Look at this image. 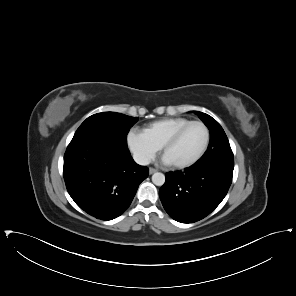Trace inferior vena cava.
Masks as SVG:
<instances>
[{"label": "inferior vena cava", "mask_w": 296, "mask_h": 296, "mask_svg": "<svg viewBox=\"0 0 296 296\" xmlns=\"http://www.w3.org/2000/svg\"><path fill=\"white\" fill-rule=\"evenodd\" d=\"M133 159L139 165H148L151 162L149 156L143 152H135L133 154Z\"/></svg>", "instance_id": "obj_1"}]
</instances>
